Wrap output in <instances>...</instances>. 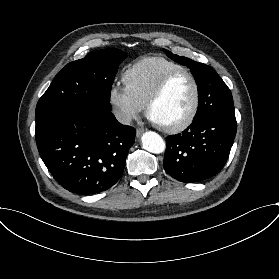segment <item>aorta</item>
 Masks as SVG:
<instances>
[{"instance_id":"1","label":"aorta","mask_w":279,"mask_h":279,"mask_svg":"<svg viewBox=\"0 0 279 279\" xmlns=\"http://www.w3.org/2000/svg\"><path fill=\"white\" fill-rule=\"evenodd\" d=\"M142 147L155 154L162 153L165 150V142L163 138L153 131L145 132L141 138Z\"/></svg>"}]
</instances>
